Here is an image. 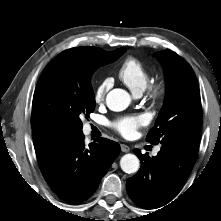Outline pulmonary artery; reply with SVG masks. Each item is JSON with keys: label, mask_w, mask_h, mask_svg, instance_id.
<instances>
[{"label": "pulmonary artery", "mask_w": 221, "mask_h": 221, "mask_svg": "<svg viewBox=\"0 0 221 221\" xmlns=\"http://www.w3.org/2000/svg\"><path fill=\"white\" fill-rule=\"evenodd\" d=\"M137 97H139L141 95V93H137L135 94ZM89 129V127L87 128ZM160 151V147H157L155 150H154V153L157 154L158 152Z\"/></svg>", "instance_id": "obj_1"}]
</instances>
